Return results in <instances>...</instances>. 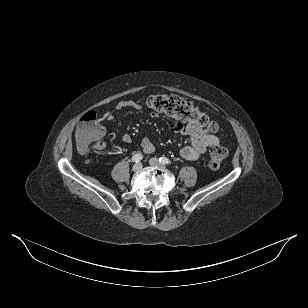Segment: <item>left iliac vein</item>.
I'll return each mask as SVG.
<instances>
[{"label":"left iliac vein","instance_id":"obj_1","mask_svg":"<svg viewBox=\"0 0 308 308\" xmlns=\"http://www.w3.org/2000/svg\"><path fill=\"white\" fill-rule=\"evenodd\" d=\"M149 164L151 166H158V167H164V165L162 163H160V161L157 158H151L149 160Z\"/></svg>","mask_w":308,"mask_h":308}]
</instances>
